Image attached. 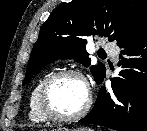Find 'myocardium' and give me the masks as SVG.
Instances as JSON below:
<instances>
[{
  "label": "myocardium",
  "mask_w": 147,
  "mask_h": 131,
  "mask_svg": "<svg viewBox=\"0 0 147 131\" xmlns=\"http://www.w3.org/2000/svg\"><path fill=\"white\" fill-rule=\"evenodd\" d=\"M66 77H76L84 82L88 90V99L85 106L77 113L72 115H64L58 113L51 105L49 100V93L52 86L58 82L59 80L66 78ZM37 101L39 108L43 115L47 117L49 120L56 121V122H72L83 118L91 109L92 106V95L88 86V81L85 75L76 69H65L60 70L57 72L52 73L48 76L43 83L41 84L38 95Z\"/></svg>",
  "instance_id": "1"
}]
</instances>
